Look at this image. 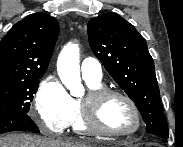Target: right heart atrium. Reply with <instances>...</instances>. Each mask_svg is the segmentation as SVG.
I'll return each instance as SVG.
<instances>
[{
    "label": "right heart atrium",
    "mask_w": 183,
    "mask_h": 147,
    "mask_svg": "<svg viewBox=\"0 0 183 147\" xmlns=\"http://www.w3.org/2000/svg\"><path fill=\"white\" fill-rule=\"evenodd\" d=\"M38 124L51 132L63 133L73 118L72 97L54 75L46 76L35 94Z\"/></svg>",
    "instance_id": "obj_1"
}]
</instances>
